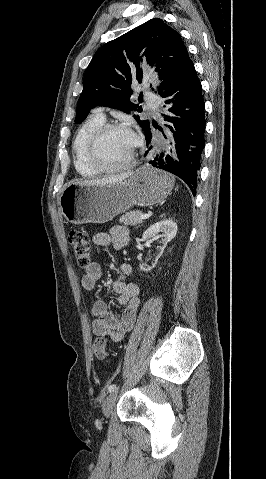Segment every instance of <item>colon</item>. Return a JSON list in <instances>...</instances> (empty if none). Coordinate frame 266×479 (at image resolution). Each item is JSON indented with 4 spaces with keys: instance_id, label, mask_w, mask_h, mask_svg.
Segmentation results:
<instances>
[{
    "instance_id": "1",
    "label": "colon",
    "mask_w": 266,
    "mask_h": 479,
    "mask_svg": "<svg viewBox=\"0 0 266 479\" xmlns=\"http://www.w3.org/2000/svg\"><path fill=\"white\" fill-rule=\"evenodd\" d=\"M67 239L78 265L82 268H88L92 264V253L88 234L82 230L70 229L67 234ZM92 351L96 358L106 360V340L101 337L96 338L92 346Z\"/></svg>"
}]
</instances>
